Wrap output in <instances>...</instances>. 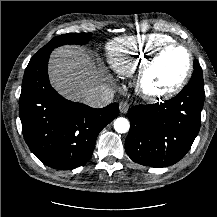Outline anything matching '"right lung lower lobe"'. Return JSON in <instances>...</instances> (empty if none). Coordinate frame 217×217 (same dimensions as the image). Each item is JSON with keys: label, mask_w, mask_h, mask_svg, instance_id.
I'll list each match as a JSON object with an SVG mask.
<instances>
[{"label": "right lung lower lobe", "mask_w": 217, "mask_h": 217, "mask_svg": "<svg viewBox=\"0 0 217 217\" xmlns=\"http://www.w3.org/2000/svg\"><path fill=\"white\" fill-rule=\"evenodd\" d=\"M48 59L29 62L25 70L19 99L22 132L45 165L71 170L91 158L97 135L119 115V105L95 109L64 99L49 83Z\"/></svg>", "instance_id": "obj_1"}]
</instances>
